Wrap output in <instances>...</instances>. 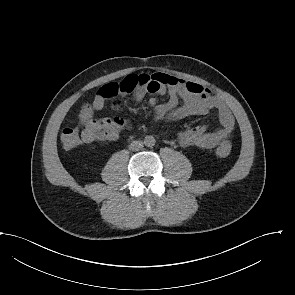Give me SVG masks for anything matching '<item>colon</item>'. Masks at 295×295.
<instances>
[{
	"label": "colon",
	"mask_w": 295,
	"mask_h": 295,
	"mask_svg": "<svg viewBox=\"0 0 295 295\" xmlns=\"http://www.w3.org/2000/svg\"><path fill=\"white\" fill-rule=\"evenodd\" d=\"M139 84L137 75H129L120 83H109L100 88L98 93L105 99L113 98L118 94L130 93L134 91ZM61 142L65 149H73L83 140L82 129L78 127H65L61 132ZM232 146L228 141L222 142L216 149L219 157H227L231 152Z\"/></svg>",
	"instance_id": "obj_1"
}]
</instances>
